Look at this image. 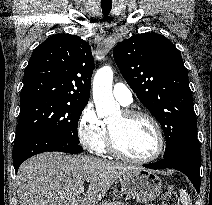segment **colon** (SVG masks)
I'll return each mask as SVG.
<instances>
[{
    "label": "colon",
    "mask_w": 212,
    "mask_h": 205,
    "mask_svg": "<svg viewBox=\"0 0 212 205\" xmlns=\"http://www.w3.org/2000/svg\"><path fill=\"white\" fill-rule=\"evenodd\" d=\"M162 205H180L178 195L172 187H169L162 200Z\"/></svg>",
    "instance_id": "5ec220e1"
}]
</instances>
